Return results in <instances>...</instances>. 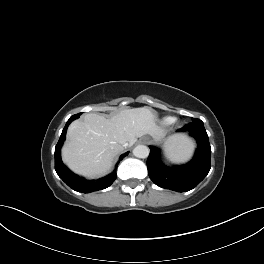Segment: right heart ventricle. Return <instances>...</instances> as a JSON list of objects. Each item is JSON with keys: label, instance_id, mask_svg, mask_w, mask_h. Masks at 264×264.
Wrapping results in <instances>:
<instances>
[{"label": "right heart ventricle", "instance_id": "e07e8e85", "mask_svg": "<svg viewBox=\"0 0 264 264\" xmlns=\"http://www.w3.org/2000/svg\"><path fill=\"white\" fill-rule=\"evenodd\" d=\"M173 121H174L173 118H166L165 119L166 124H171V123H173Z\"/></svg>", "mask_w": 264, "mask_h": 264}]
</instances>
